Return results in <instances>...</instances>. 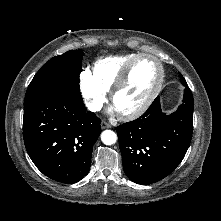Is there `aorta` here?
Here are the masks:
<instances>
[{"mask_svg":"<svg viewBox=\"0 0 221 221\" xmlns=\"http://www.w3.org/2000/svg\"><path fill=\"white\" fill-rule=\"evenodd\" d=\"M101 140L105 145H112L117 140V135L112 130H105L101 134Z\"/></svg>","mask_w":221,"mask_h":221,"instance_id":"aorta-1","label":"aorta"}]
</instances>
